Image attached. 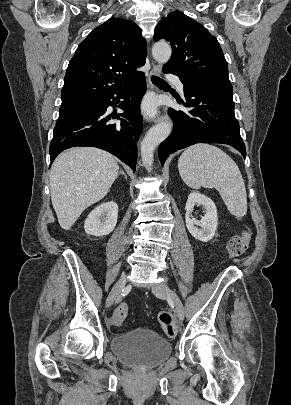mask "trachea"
Returning a JSON list of instances; mask_svg holds the SVG:
<instances>
[{"label":"trachea","instance_id":"3493384b","mask_svg":"<svg viewBox=\"0 0 291 405\" xmlns=\"http://www.w3.org/2000/svg\"><path fill=\"white\" fill-rule=\"evenodd\" d=\"M152 82L157 86H167L168 85V83L166 81H164L163 79L156 77V76H152Z\"/></svg>","mask_w":291,"mask_h":405}]
</instances>
